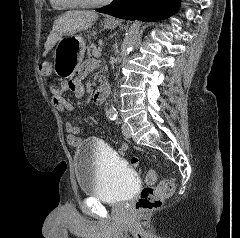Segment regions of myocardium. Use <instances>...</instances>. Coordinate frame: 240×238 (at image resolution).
<instances>
[{"mask_svg":"<svg viewBox=\"0 0 240 238\" xmlns=\"http://www.w3.org/2000/svg\"><path fill=\"white\" fill-rule=\"evenodd\" d=\"M111 1L112 0H98L96 2H91V3L68 1V5L72 7H79V8H95V7L104 6L110 3Z\"/></svg>","mask_w":240,"mask_h":238,"instance_id":"obj_1","label":"myocardium"}]
</instances>
